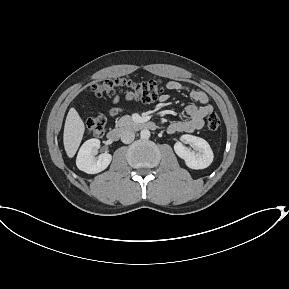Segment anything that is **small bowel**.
<instances>
[{
	"label": "small bowel",
	"mask_w": 289,
	"mask_h": 289,
	"mask_svg": "<svg viewBox=\"0 0 289 289\" xmlns=\"http://www.w3.org/2000/svg\"><path fill=\"white\" fill-rule=\"evenodd\" d=\"M166 88L171 91H188L190 98L199 105L190 104L186 107L185 111L188 119L182 121H175L168 126L170 133H191L202 128L204 124V118L213 111V107L209 104L208 95L199 89H190L178 81H168ZM125 99L128 101L134 100L132 95H126ZM168 100V95L163 94L159 97L161 103H165ZM119 102V96L113 97V106L109 110L110 116H116L121 112V108L117 106Z\"/></svg>",
	"instance_id": "small-bowel-1"
}]
</instances>
